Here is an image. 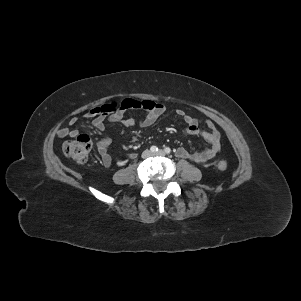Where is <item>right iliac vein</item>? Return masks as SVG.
<instances>
[{
  "instance_id": "right-iliac-vein-1",
  "label": "right iliac vein",
  "mask_w": 301,
  "mask_h": 301,
  "mask_svg": "<svg viewBox=\"0 0 301 301\" xmlns=\"http://www.w3.org/2000/svg\"><path fill=\"white\" fill-rule=\"evenodd\" d=\"M151 154L152 153L149 150H146L143 152L142 156H143V158H147V157L151 156Z\"/></svg>"
}]
</instances>
